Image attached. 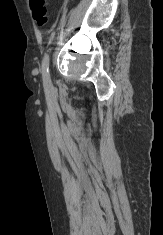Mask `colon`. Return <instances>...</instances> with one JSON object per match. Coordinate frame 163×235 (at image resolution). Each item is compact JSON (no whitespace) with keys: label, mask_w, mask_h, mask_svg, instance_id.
<instances>
[{"label":"colon","mask_w":163,"mask_h":235,"mask_svg":"<svg viewBox=\"0 0 163 235\" xmlns=\"http://www.w3.org/2000/svg\"><path fill=\"white\" fill-rule=\"evenodd\" d=\"M33 18L39 26L48 22L45 0H29Z\"/></svg>","instance_id":"5ec220e1"}]
</instances>
